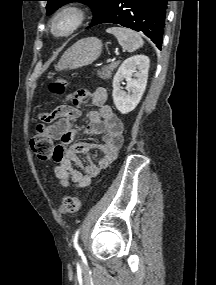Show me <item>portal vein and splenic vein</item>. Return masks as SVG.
<instances>
[{
	"instance_id": "1",
	"label": "portal vein and splenic vein",
	"mask_w": 216,
	"mask_h": 285,
	"mask_svg": "<svg viewBox=\"0 0 216 285\" xmlns=\"http://www.w3.org/2000/svg\"><path fill=\"white\" fill-rule=\"evenodd\" d=\"M111 61H112L111 59L108 60V62H111Z\"/></svg>"
}]
</instances>
